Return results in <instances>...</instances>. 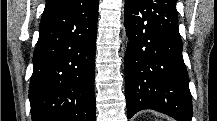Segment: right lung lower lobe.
Here are the masks:
<instances>
[{
  "instance_id": "right-lung-lower-lobe-1",
  "label": "right lung lower lobe",
  "mask_w": 217,
  "mask_h": 121,
  "mask_svg": "<svg viewBox=\"0 0 217 121\" xmlns=\"http://www.w3.org/2000/svg\"><path fill=\"white\" fill-rule=\"evenodd\" d=\"M98 3L44 9L29 86L32 121H95Z\"/></svg>"
}]
</instances>
